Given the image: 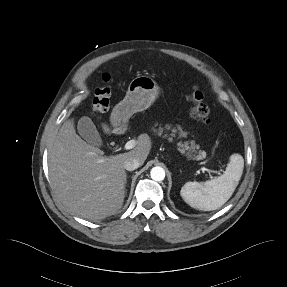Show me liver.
Segmentation results:
<instances>
[{
    "mask_svg": "<svg viewBox=\"0 0 287 287\" xmlns=\"http://www.w3.org/2000/svg\"><path fill=\"white\" fill-rule=\"evenodd\" d=\"M105 133H110L106 124ZM151 150L147 134L138 136L136 147L126 153L104 156L76 134L74 121L66 120L55 136L48 154L52 189L75 215L97 221L121 209L125 197L123 163L136 158L143 164Z\"/></svg>",
    "mask_w": 287,
    "mask_h": 287,
    "instance_id": "obj_1",
    "label": "liver"
}]
</instances>
